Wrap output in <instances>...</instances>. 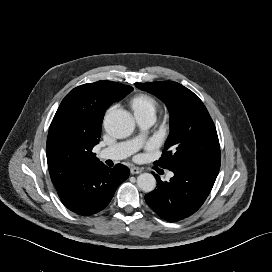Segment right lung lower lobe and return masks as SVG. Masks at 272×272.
Listing matches in <instances>:
<instances>
[{"mask_svg": "<svg viewBox=\"0 0 272 272\" xmlns=\"http://www.w3.org/2000/svg\"><path fill=\"white\" fill-rule=\"evenodd\" d=\"M129 176V169L117 164L113 169L103 163L87 169L77 182L58 191L62 203L79 215H92L103 210L118 186Z\"/></svg>", "mask_w": 272, "mask_h": 272, "instance_id": "right-lung-lower-lobe-1", "label": "right lung lower lobe"}]
</instances>
